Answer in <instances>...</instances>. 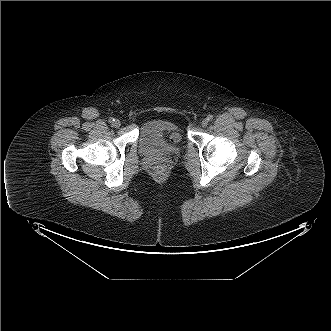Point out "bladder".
<instances>
[{
    "label": "bladder",
    "mask_w": 331,
    "mask_h": 331,
    "mask_svg": "<svg viewBox=\"0 0 331 331\" xmlns=\"http://www.w3.org/2000/svg\"><path fill=\"white\" fill-rule=\"evenodd\" d=\"M184 140L178 125L167 119L145 123L138 137L141 155L152 158L171 157L178 154Z\"/></svg>",
    "instance_id": "obj_1"
}]
</instances>
